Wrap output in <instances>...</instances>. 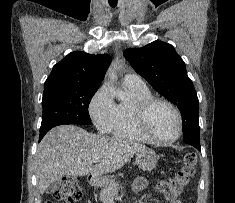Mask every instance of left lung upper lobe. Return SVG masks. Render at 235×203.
Wrapping results in <instances>:
<instances>
[{
    "instance_id": "left-lung-upper-lobe-1",
    "label": "left lung upper lobe",
    "mask_w": 235,
    "mask_h": 203,
    "mask_svg": "<svg viewBox=\"0 0 235 203\" xmlns=\"http://www.w3.org/2000/svg\"><path fill=\"white\" fill-rule=\"evenodd\" d=\"M124 56L156 91L178 107L183 118L184 134L190 132L194 142L200 143L198 97L185 63L174 47L154 41L142 48L125 50Z\"/></svg>"
}]
</instances>
